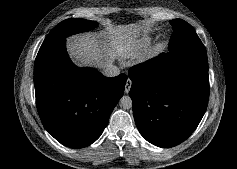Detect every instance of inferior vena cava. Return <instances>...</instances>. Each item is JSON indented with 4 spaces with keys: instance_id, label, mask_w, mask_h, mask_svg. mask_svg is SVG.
I'll list each match as a JSON object with an SVG mask.
<instances>
[{
    "instance_id": "602c4592",
    "label": "inferior vena cava",
    "mask_w": 237,
    "mask_h": 169,
    "mask_svg": "<svg viewBox=\"0 0 237 169\" xmlns=\"http://www.w3.org/2000/svg\"><path fill=\"white\" fill-rule=\"evenodd\" d=\"M102 74L106 77H115L120 74V69L113 64H108L103 68Z\"/></svg>"
}]
</instances>
